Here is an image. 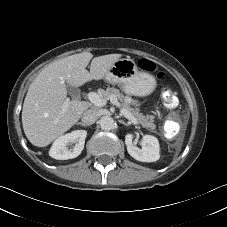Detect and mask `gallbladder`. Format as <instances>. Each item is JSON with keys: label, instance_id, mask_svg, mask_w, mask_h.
Listing matches in <instances>:
<instances>
[{"label": "gallbladder", "instance_id": "1", "mask_svg": "<svg viewBox=\"0 0 227 227\" xmlns=\"http://www.w3.org/2000/svg\"><path fill=\"white\" fill-rule=\"evenodd\" d=\"M67 88H68L70 95L77 96L79 94V90L77 88L70 87L68 85H67Z\"/></svg>", "mask_w": 227, "mask_h": 227}]
</instances>
